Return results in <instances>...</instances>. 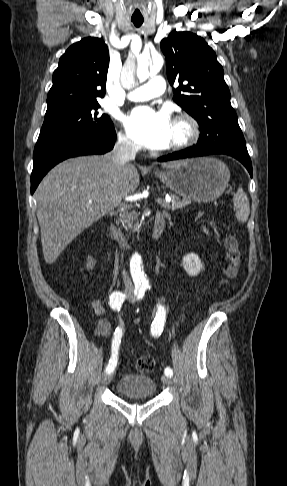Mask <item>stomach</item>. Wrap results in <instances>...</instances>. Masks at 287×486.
<instances>
[{
	"label": "stomach",
	"instance_id": "0dacf381",
	"mask_svg": "<svg viewBox=\"0 0 287 486\" xmlns=\"http://www.w3.org/2000/svg\"><path fill=\"white\" fill-rule=\"evenodd\" d=\"M155 174L177 195L196 202L217 199L230 179L228 167L213 157L182 160L176 167Z\"/></svg>",
	"mask_w": 287,
	"mask_h": 486
}]
</instances>
